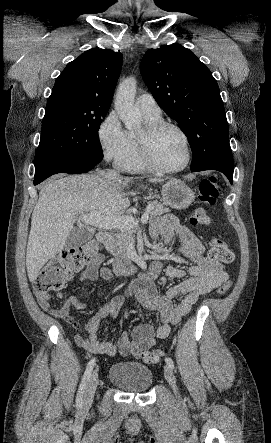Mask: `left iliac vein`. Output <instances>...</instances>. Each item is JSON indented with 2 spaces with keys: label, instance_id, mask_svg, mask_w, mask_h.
Returning <instances> with one entry per match:
<instances>
[{
  "label": "left iliac vein",
  "instance_id": "left-iliac-vein-1",
  "mask_svg": "<svg viewBox=\"0 0 271 443\" xmlns=\"http://www.w3.org/2000/svg\"><path fill=\"white\" fill-rule=\"evenodd\" d=\"M164 376H165V379L167 380V382L170 384L173 392L177 396L179 393H178V387L176 384V378H175L171 368L168 365L164 366Z\"/></svg>",
  "mask_w": 271,
  "mask_h": 443
}]
</instances>
